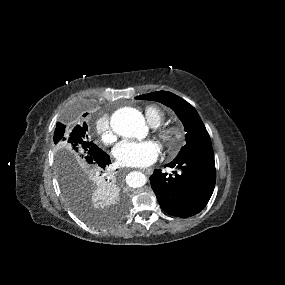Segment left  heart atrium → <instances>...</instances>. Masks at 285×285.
I'll use <instances>...</instances> for the list:
<instances>
[{
  "label": "left heart atrium",
  "mask_w": 285,
  "mask_h": 285,
  "mask_svg": "<svg viewBox=\"0 0 285 285\" xmlns=\"http://www.w3.org/2000/svg\"><path fill=\"white\" fill-rule=\"evenodd\" d=\"M160 150L153 140H124L114 149L117 161L127 167H146L154 163Z\"/></svg>",
  "instance_id": "1"
}]
</instances>
